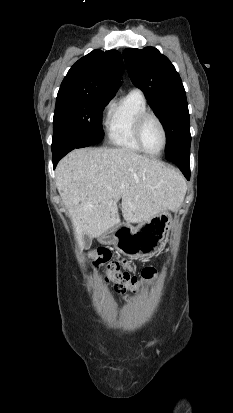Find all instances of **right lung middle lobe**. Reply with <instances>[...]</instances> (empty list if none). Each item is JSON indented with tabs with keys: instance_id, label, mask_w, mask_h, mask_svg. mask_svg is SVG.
<instances>
[{
	"instance_id": "1",
	"label": "right lung middle lobe",
	"mask_w": 233,
	"mask_h": 413,
	"mask_svg": "<svg viewBox=\"0 0 233 413\" xmlns=\"http://www.w3.org/2000/svg\"><path fill=\"white\" fill-rule=\"evenodd\" d=\"M112 97L83 92H58L53 120L52 149L94 145L104 136L101 117Z\"/></svg>"
}]
</instances>
